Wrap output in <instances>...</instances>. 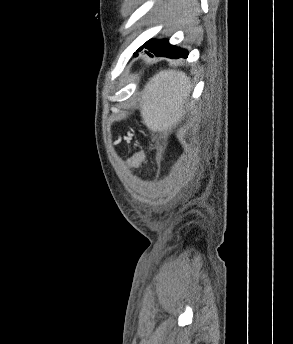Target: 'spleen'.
Wrapping results in <instances>:
<instances>
[{"label":"spleen","mask_w":293,"mask_h":344,"mask_svg":"<svg viewBox=\"0 0 293 344\" xmlns=\"http://www.w3.org/2000/svg\"><path fill=\"white\" fill-rule=\"evenodd\" d=\"M190 81L185 73L164 70L146 84L141 101L143 123L153 132H167L183 116Z\"/></svg>","instance_id":"1"}]
</instances>
